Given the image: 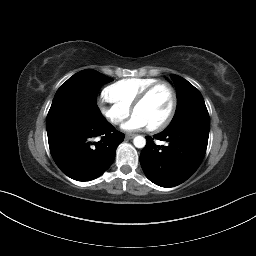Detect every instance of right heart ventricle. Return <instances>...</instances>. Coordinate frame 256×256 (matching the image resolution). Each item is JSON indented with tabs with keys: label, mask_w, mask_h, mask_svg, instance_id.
<instances>
[{
	"label": "right heart ventricle",
	"mask_w": 256,
	"mask_h": 256,
	"mask_svg": "<svg viewBox=\"0 0 256 256\" xmlns=\"http://www.w3.org/2000/svg\"><path fill=\"white\" fill-rule=\"evenodd\" d=\"M156 82L158 80L152 78L123 79L110 85L106 93L112 100L131 108L137 97Z\"/></svg>",
	"instance_id": "obj_1"
}]
</instances>
